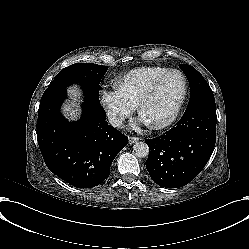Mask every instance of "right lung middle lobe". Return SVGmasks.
<instances>
[{
  "label": "right lung middle lobe",
  "instance_id": "obj_1",
  "mask_svg": "<svg viewBox=\"0 0 249 249\" xmlns=\"http://www.w3.org/2000/svg\"><path fill=\"white\" fill-rule=\"evenodd\" d=\"M107 69V66L92 63H75L59 72L49 87L59 89L78 83L82 86L88 100L100 104L99 84Z\"/></svg>",
  "mask_w": 249,
  "mask_h": 249
}]
</instances>
